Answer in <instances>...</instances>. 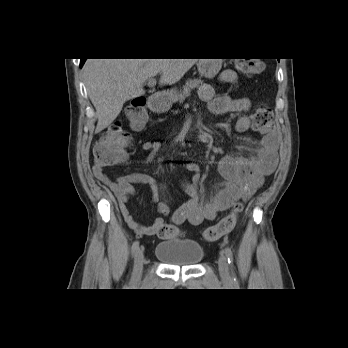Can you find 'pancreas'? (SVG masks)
<instances>
[{
  "instance_id": "obj_1",
  "label": "pancreas",
  "mask_w": 348,
  "mask_h": 348,
  "mask_svg": "<svg viewBox=\"0 0 348 348\" xmlns=\"http://www.w3.org/2000/svg\"><path fill=\"white\" fill-rule=\"evenodd\" d=\"M201 79H188L183 86V90L177 97L176 101H179V103H183L186 97H188L191 93V91L197 87H199L200 84H202Z\"/></svg>"
}]
</instances>
